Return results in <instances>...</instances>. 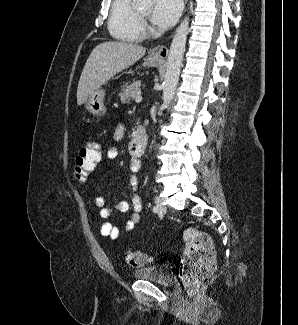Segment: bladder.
<instances>
[{"label":"bladder","instance_id":"obj_1","mask_svg":"<svg viewBox=\"0 0 298 325\" xmlns=\"http://www.w3.org/2000/svg\"><path fill=\"white\" fill-rule=\"evenodd\" d=\"M133 277L138 280L149 281L161 286L170 287L173 284L171 273L162 266L151 265L137 269Z\"/></svg>","mask_w":298,"mask_h":325}]
</instances>
